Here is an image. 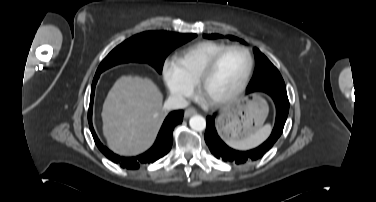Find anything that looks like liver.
Listing matches in <instances>:
<instances>
[{
  "label": "liver",
  "instance_id": "6515ba94",
  "mask_svg": "<svg viewBox=\"0 0 376 202\" xmlns=\"http://www.w3.org/2000/svg\"><path fill=\"white\" fill-rule=\"evenodd\" d=\"M162 95L149 78L122 76L109 91L102 109L103 134L119 155L147 150L163 123Z\"/></svg>",
  "mask_w": 376,
  "mask_h": 202
}]
</instances>
